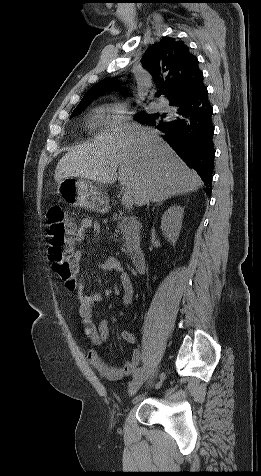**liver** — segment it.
Returning a JSON list of instances; mask_svg holds the SVG:
<instances>
[{
  "instance_id": "6515ba94",
  "label": "liver",
  "mask_w": 261,
  "mask_h": 476,
  "mask_svg": "<svg viewBox=\"0 0 261 476\" xmlns=\"http://www.w3.org/2000/svg\"><path fill=\"white\" fill-rule=\"evenodd\" d=\"M70 177L113 184L132 194L137 206L162 202L199 189L203 182L153 128L118 124L93 142L72 148L57 164L54 179Z\"/></svg>"
}]
</instances>
